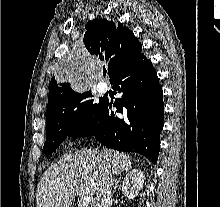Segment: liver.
I'll use <instances>...</instances> for the list:
<instances>
[{
	"label": "liver",
	"mask_w": 220,
	"mask_h": 207,
	"mask_svg": "<svg viewBox=\"0 0 220 207\" xmlns=\"http://www.w3.org/2000/svg\"><path fill=\"white\" fill-rule=\"evenodd\" d=\"M130 156L110 149H83L65 155L48 168L37 185V207H71L78 196H93L102 174H122Z\"/></svg>",
	"instance_id": "1"
}]
</instances>
